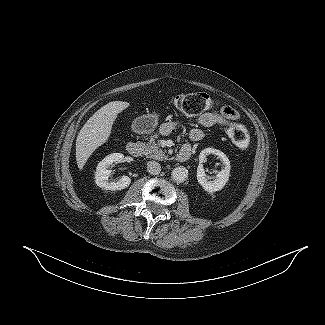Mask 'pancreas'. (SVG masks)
<instances>
[{"label":"pancreas","mask_w":325,"mask_h":325,"mask_svg":"<svg viewBox=\"0 0 325 325\" xmlns=\"http://www.w3.org/2000/svg\"><path fill=\"white\" fill-rule=\"evenodd\" d=\"M158 135H154L151 137L150 141L144 145L143 153L145 156L151 159H156V160H165L167 157L165 155V151L162 150L160 147V143L157 141Z\"/></svg>","instance_id":"1"}]
</instances>
